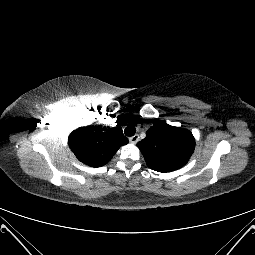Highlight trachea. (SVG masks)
Masks as SVG:
<instances>
[{"instance_id": "obj_1", "label": "trachea", "mask_w": 255, "mask_h": 255, "mask_svg": "<svg viewBox=\"0 0 255 255\" xmlns=\"http://www.w3.org/2000/svg\"><path fill=\"white\" fill-rule=\"evenodd\" d=\"M135 132H136V129L132 125L127 126L124 130L125 135L128 137L133 136L135 134Z\"/></svg>"}]
</instances>
